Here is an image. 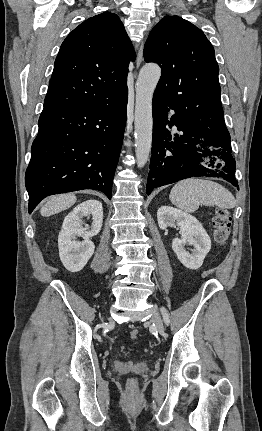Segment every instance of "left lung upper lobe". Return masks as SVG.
Here are the masks:
<instances>
[{
    "mask_svg": "<svg viewBox=\"0 0 262 431\" xmlns=\"http://www.w3.org/2000/svg\"><path fill=\"white\" fill-rule=\"evenodd\" d=\"M144 59L161 66L154 93L183 123L209 136L227 131L214 48L199 28L179 16L164 17L149 34Z\"/></svg>",
    "mask_w": 262,
    "mask_h": 431,
    "instance_id": "5c2ea615",
    "label": "left lung upper lobe"
}]
</instances>
